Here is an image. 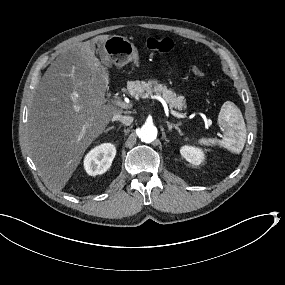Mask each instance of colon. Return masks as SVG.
<instances>
[{
  "mask_svg": "<svg viewBox=\"0 0 285 285\" xmlns=\"http://www.w3.org/2000/svg\"><path fill=\"white\" fill-rule=\"evenodd\" d=\"M145 45L148 50L157 53H170L175 47L174 41L170 38H148ZM190 71L196 77L204 76V72L196 66H192Z\"/></svg>",
  "mask_w": 285,
  "mask_h": 285,
  "instance_id": "colon-1",
  "label": "colon"
}]
</instances>
